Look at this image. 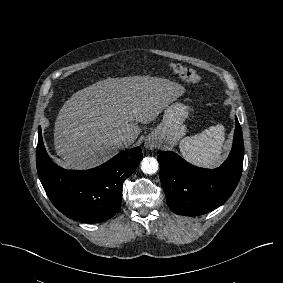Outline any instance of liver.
I'll use <instances>...</instances> for the list:
<instances>
[{
	"label": "liver",
	"instance_id": "1",
	"mask_svg": "<svg viewBox=\"0 0 283 283\" xmlns=\"http://www.w3.org/2000/svg\"><path fill=\"white\" fill-rule=\"evenodd\" d=\"M184 87L151 76L107 78L74 93L60 109L54 126V145L66 169L98 166L140 134L138 123L153 121L183 95ZM125 135L127 143L115 142Z\"/></svg>",
	"mask_w": 283,
	"mask_h": 283
}]
</instances>
